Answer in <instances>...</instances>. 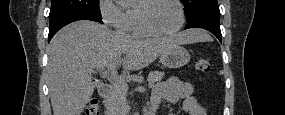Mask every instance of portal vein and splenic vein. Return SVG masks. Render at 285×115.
<instances>
[{"label":"portal vein and splenic vein","mask_w":285,"mask_h":115,"mask_svg":"<svg viewBox=\"0 0 285 115\" xmlns=\"http://www.w3.org/2000/svg\"><path fill=\"white\" fill-rule=\"evenodd\" d=\"M116 66H110L108 70H100L104 75L110 74L111 79L116 85H121V86H127V83L125 80L121 77L118 76L116 73ZM149 86H152V83L149 84Z\"/></svg>","instance_id":"obj_1"}]
</instances>
